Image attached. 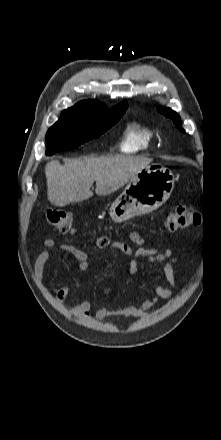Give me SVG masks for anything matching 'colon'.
Wrapping results in <instances>:
<instances>
[{"instance_id":"1","label":"colon","mask_w":221,"mask_h":440,"mask_svg":"<svg viewBox=\"0 0 221 440\" xmlns=\"http://www.w3.org/2000/svg\"><path fill=\"white\" fill-rule=\"evenodd\" d=\"M48 222L60 233H72L74 231V219L65 212L59 210H49L46 213ZM200 214L193 208L186 205H179L171 210L166 220V228L171 232L184 230L199 224ZM97 246L104 247L108 244L105 237L99 238Z\"/></svg>"}]
</instances>
